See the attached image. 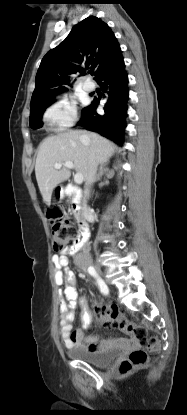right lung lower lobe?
<instances>
[{
	"instance_id": "right-lung-lower-lobe-1",
	"label": "right lung lower lobe",
	"mask_w": 187,
	"mask_h": 415,
	"mask_svg": "<svg viewBox=\"0 0 187 415\" xmlns=\"http://www.w3.org/2000/svg\"><path fill=\"white\" fill-rule=\"evenodd\" d=\"M95 80L106 93V96L103 94V98H106L104 113L96 112L99 101L94 100L82 110L79 125L87 130L98 132L117 144H122L129 97L128 77L122 54L119 53Z\"/></svg>"
}]
</instances>
